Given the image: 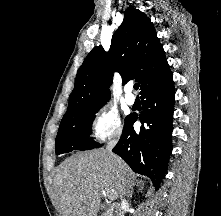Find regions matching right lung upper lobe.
Listing matches in <instances>:
<instances>
[{"instance_id":"cb5924a9","label":"right lung upper lobe","mask_w":221,"mask_h":216,"mask_svg":"<svg viewBox=\"0 0 221 216\" xmlns=\"http://www.w3.org/2000/svg\"><path fill=\"white\" fill-rule=\"evenodd\" d=\"M167 70L169 65L153 23L143 12L129 7L112 36L109 51L98 46L85 58L63 118L103 106L110 98L107 88L114 71L119 72L123 83L135 78L143 91Z\"/></svg>"}]
</instances>
